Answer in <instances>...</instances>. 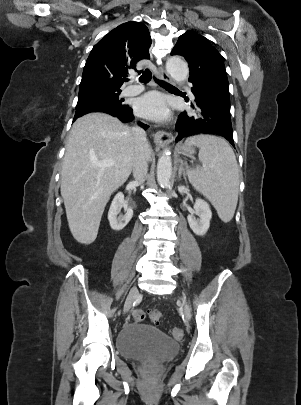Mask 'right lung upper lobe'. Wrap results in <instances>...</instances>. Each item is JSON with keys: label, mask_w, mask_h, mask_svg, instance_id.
Returning <instances> with one entry per match:
<instances>
[{"label": "right lung upper lobe", "mask_w": 301, "mask_h": 405, "mask_svg": "<svg viewBox=\"0 0 301 405\" xmlns=\"http://www.w3.org/2000/svg\"><path fill=\"white\" fill-rule=\"evenodd\" d=\"M151 37L141 22H126L105 35L92 49L86 61L80 90L89 88L120 89L129 68L149 59Z\"/></svg>", "instance_id": "1"}]
</instances>
